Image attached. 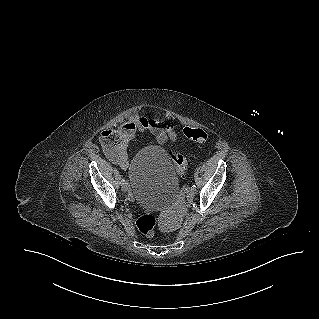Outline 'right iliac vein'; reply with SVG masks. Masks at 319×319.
<instances>
[{
    "mask_svg": "<svg viewBox=\"0 0 319 319\" xmlns=\"http://www.w3.org/2000/svg\"><path fill=\"white\" fill-rule=\"evenodd\" d=\"M121 189H122V191H124V192H127V191H128L129 185H128V183H127L126 181L123 182Z\"/></svg>",
    "mask_w": 319,
    "mask_h": 319,
    "instance_id": "right-iliac-vein-1",
    "label": "right iliac vein"
}]
</instances>
